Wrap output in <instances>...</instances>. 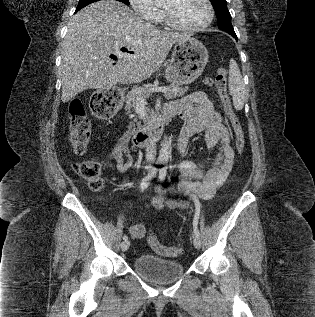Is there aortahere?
Segmentation results:
<instances>
[{"instance_id":"762f6f07","label":"aorta","mask_w":315,"mask_h":317,"mask_svg":"<svg viewBox=\"0 0 315 317\" xmlns=\"http://www.w3.org/2000/svg\"><path fill=\"white\" fill-rule=\"evenodd\" d=\"M158 2L159 0H155ZM170 144L171 140L169 137H165L163 142L161 143V150L159 153V160L161 161H168L170 156Z\"/></svg>"}]
</instances>
